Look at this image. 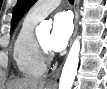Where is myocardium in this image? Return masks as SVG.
<instances>
[{
    "label": "myocardium",
    "mask_w": 107,
    "mask_h": 89,
    "mask_svg": "<svg viewBox=\"0 0 107 89\" xmlns=\"http://www.w3.org/2000/svg\"><path fill=\"white\" fill-rule=\"evenodd\" d=\"M35 42H36V48H37L39 56L41 57V59L43 60L45 64L48 63L51 58L48 47L42 44L39 37L35 38Z\"/></svg>",
    "instance_id": "1"
}]
</instances>
